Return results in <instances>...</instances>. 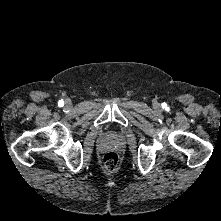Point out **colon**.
Wrapping results in <instances>:
<instances>
[{"label": "colon", "mask_w": 221, "mask_h": 221, "mask_svg": "<svg viewBox=\"0 0 221 221\" xmlns=\"http://www.w3.org/2000/svg\"><path fill=\"white\" fill-rule=\"evenodd\" d=\"M119 164V158L116 153L108 152L103 156L102 165L105 171L113 172L117 169Z\"/></svg>", "instance_id": "obj_1"}]
</instances>
